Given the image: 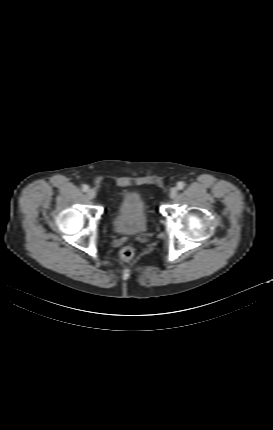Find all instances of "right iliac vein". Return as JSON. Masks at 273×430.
Here are the masks:
<instances>
[{
	"label": "right iliac vein",
	"mask_w": 273,
	"mask_h": 430,
	"mask_svg": "<svg viewBox=\"0 0 273 430\" xmlns=\"http://www.w3.org/2000/svg\"><path fill=\"white\" fill-rule=\"evenodd\" d=\"M95 196H96V192H95V190H93V189H89V190L87 191V197H88L89 199H94V198H95Z\"/></svg>",
	"instance_id": "63e3f726"
}]
</instances>
